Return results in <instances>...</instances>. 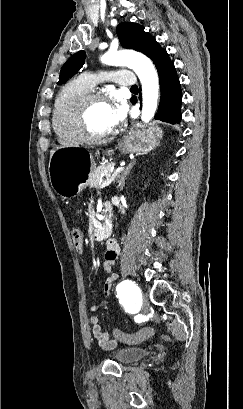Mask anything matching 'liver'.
Segmentation results:
<instances>
[{"label":"liver","mask_w":243,"mask_h":409,"mask_svg":"<svg viewBox=\"0 0 243 409\" xmlns=\"http://www.w3.org/2000/svg\"><path fill=\"white\" fill-rule=\"evenodd\" d=\"M59 147H57V148H54V149H52L51 151H50V157H51V155L54 153V151L56 150V149H58Z\"/></svg>","instance_id":"6515ba94"}]
</instances>
